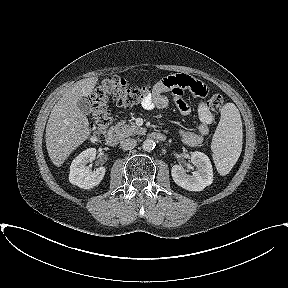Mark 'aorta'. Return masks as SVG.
Segmentation results:
<instances>
[{"label":"aorta","mask_w":288,"mask_h":288,"mask_svg":"<svg viewBox=\"0 0 288 288\" xmlns=\"http://www.w3.org/2000/svg\"><path fill=\"white\" fill-rule=\"evenodd\" d=\"M156 146V143L154 140L152 139H146L144 140L143 144H142V148L144 151L150 152L152 151Z\"/></svg>","instance_id":"1"}]
</instances>
